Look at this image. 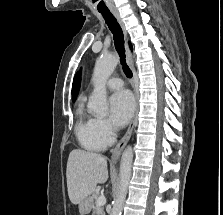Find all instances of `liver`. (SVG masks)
I'll list each match as a JSON object with an SVG mask.
<instances>
[{
  "instance_id": "liver-1",
  "label": "liver",
  "mask_w": 223,
  "mask_h": 215,
  "mask_svg": "<svg viewBox=\"0 0 223 215\" xmlns=\"http://www.w3.org/2000/svg\"><path fill=\"white\" fill-rule=\"evenodd\" d=\"M67 187L72 203H80L108 179L106 157L93 151L72 149L67 161Z\"/></svg>"
}]
</instances>
